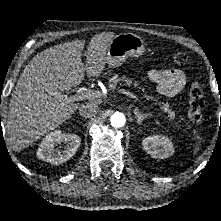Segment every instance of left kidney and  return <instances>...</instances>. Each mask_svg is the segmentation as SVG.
<instances>
[{
    "instance_id": "obj_1",
    "label": "left kidney",
    "mask_w": 221,
    "mask_h": 221,
    "mask_svg": "<svg viewBox=\"0 0 221 221\" xmlns=\"http://www.w3.org/2000/svg\"><path fill=\"white\" fill-rule=\"evenodd\" d=\"M144 150L154 158L166 159L174 154L171 140L164 135H153L142 141Z\"/></svg>"
}]
</instances>
